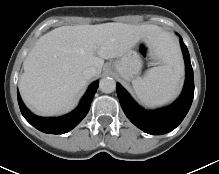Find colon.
<instances>
[{"label": "colon", "instance_id": "1", "mask_svg": "<svg viewBox=\"0 0 219 174\" xmlns=\"http://www.w3.org/2000/svg\"><path fill=\"white\" fill-rule=\"evenodd\" d=\"M142 51H143L144 53L147 52V47H146V45H143V46H142Z\"/></svg>", "mask_w": 219, "mask_h": 174}]
</instances>
